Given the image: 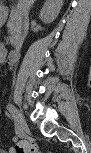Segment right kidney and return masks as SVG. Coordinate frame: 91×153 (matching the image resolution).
I'll return each instance as SVG.
<instances>
[{"mask_svg":"<svg viewBox=\"0 0 91 153\" xmlns=\"http://www.w3.org/2000/svg\"><path fill=\"white\" fill-rule=\"evenodd\" d=\"M60 9V5H56L51 0H48L42 7L39 17L42 22L51 23L58 16Z\"/></svg>","mask_w":91,"mask_h":153,"instance_id":"1","label":"right kidney"}]
</instances>
